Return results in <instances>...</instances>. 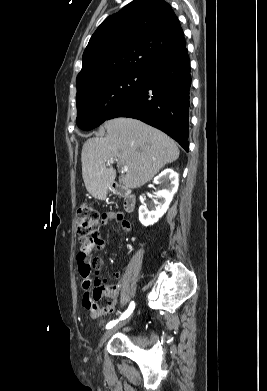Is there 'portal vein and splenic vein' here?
Returning a JSON list of instances; mask_svg holds the SVG:
<instances>
[{
  "instance_id": "obj_1",
  "label": "portal vein and splenic vein",
  "mask_w": 267,
  "mask_h": 391,
  "mask_svg": "<svg viewBox=\"0 0 267 391\" xmlns=\"http://www.w3.org/2000/svg\"><path fill=\"white\" fill-rule=\"evenodd\" d=\"M113 162H114L113 159L108 160V164H112ZM121 170H122V172H127L128 171V167L127 166H122Z\"/></svg>"
}]
</instances>
